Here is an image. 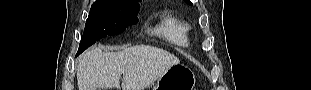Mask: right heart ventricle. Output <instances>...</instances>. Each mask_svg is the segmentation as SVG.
Segmentation results:
<instances>
[{"mask_svg": "<svg viewBox=\"0 0 311 90\" xmlns=\"http://www.w3.org/2000/svg\"><path fill=\"white\" fill-rule=\"evenodd\" d=\"M190 32V25L181 17L173 14L164 16L155 30L157 35L180 47L188 46Z\"/></svg>", "mask_w": 311, "mask_h": 90, "instance_id": "obj_1", "label": "right heart ventricle"}]
</instances>
